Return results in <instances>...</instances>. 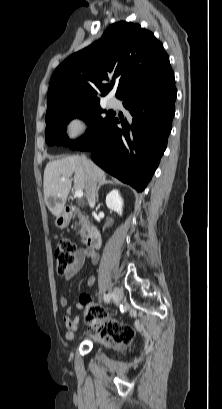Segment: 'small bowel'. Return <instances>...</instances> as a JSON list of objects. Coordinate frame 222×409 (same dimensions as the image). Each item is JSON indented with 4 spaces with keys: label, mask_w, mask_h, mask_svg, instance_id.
I'll list each match as a JSON object with an SVG mask.
<instances>
[{
    "label": "small bowel",
    "mask_w": 222,
    "mask_h": 409,
    "mask_svg": "<svg viewBox=\"0 0 222 409\" xmlns=\"http://www.w3.org/2000/svg\"><path fill=\"white\" fill-rule=\"evenodd\" d=\"M85 259H89L93 264H96L99 260L98 254L89 249L80 248L75 255L74 262L70 265L69 269L64 275L65 281H69L74 274H76L82 267ZM94 282L93 277L89 278L88 284L92 285ZM60 305L64 308H68L69 300L66 296H62L60 298ZM76 308L79 310L84 309V304L78 303L76 304ZM63 322L66 326L65 338L67 340H72L74 337V332L78 329V325L80 322V315L72 317L69 312L65 313L63 316ZM106 345H114L117 347H121L123 344L116 343L114 340L110 339L105 343Z\"/></svg>",
    "instance_id": "1"
}]
</instances>
